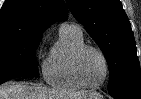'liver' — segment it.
<instances>
[{
    "mask_svg": "<svg viewBox=\"0 0 141 99\" xmlns=\"http://www.w3.org/2000/svg\"><path fill=\"white\" fill-rule=\"evenodd\" d=\"M98 93H64L46 87L28 83H7L0 88V99H87Z\"/></svg>",
    "mask_w": 141,
    "mask_h": 99,
    "instance_id": "1",
    "label": "liver"
}]
</instances>
